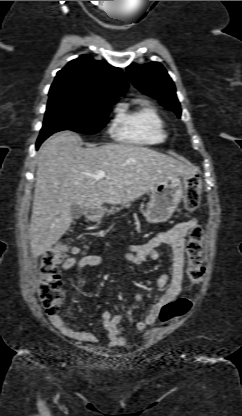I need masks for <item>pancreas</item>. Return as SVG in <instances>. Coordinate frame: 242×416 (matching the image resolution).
Masks as SVG:
<instances>
[{"instance_id":"pancreas-1","label":"pancreas","mask_w":242,"mask_h":416,"mask_svg":"<svg viewBox=\"0 0 242 416\" xmlns=\"http://www.w3.org/2000/svg\"><path fill=\"white\" fill-rule=\"evenodd\" d=\"M129 206H130L129 204L124 205V207H129ZM115 211H118V209L115 207H112L110 210H107L108 214H112Z\"/></svg>"}]
</instances>
